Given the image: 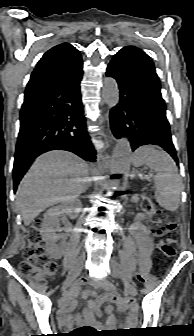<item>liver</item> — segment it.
<instances>
[{
  "instance_id": "1",
  "label": "liver",
  "mask_w": 194,
  "mask_h": 336,
  "mask_svg": "<svg viewBox=\"0 0 194 336\" xmlns=\"http://www.w3.org/2000/svg\"><path fill=\"white\" fill-rule=\"evenodd\" d=\"M88 165L77 155L53 150L39 156L21 181L17 206L26 226L46 208L85 191Z\"/></svg>"
}]
</instances>
